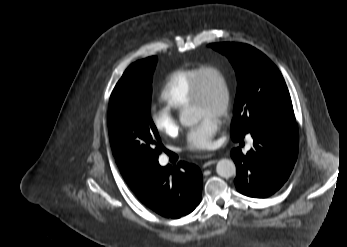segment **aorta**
I'll return each mask as SVG.
<instances>
[{
	"label": "aorta",
	"mask_w": 347,
	"mask_h": 247,
	"mask_svg": "<svg viewBox=\"0 0 347 247\" xmlns=\"http://www.w3.org/2000/svg\"><path fill=\"white\" fill-rule=\"evenodd\" d=\"M180 123L183 126L189 127L199 122V114L192 108L183 110L180 114ZM216 172L223 178H230L236 173L235 163L230 159H221L216 165Z\"/></svg>",
	"instance_id": "1"
}]
</instances>
